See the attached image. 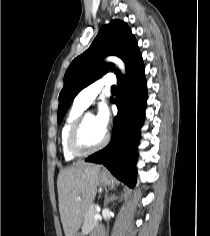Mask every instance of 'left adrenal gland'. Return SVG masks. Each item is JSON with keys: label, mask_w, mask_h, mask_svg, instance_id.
Returning a JSON list of instances; mask_svg holds the SVG:
<instances>
[{"label": "left adrenal gland", "mask_w": 210, "mask_h": 236, "mask_svg": "<svg viewBox=\"0 0 210 236\" xmlns=\"http://www.w3.org/2000/svg\"><path fill=\"white\" fill-rule=\"evenodd\" d=\"M114 197L110 198L109 200H107V204L113 200Z\"/></svg>", "instance_id": "1"}]
</instances>
